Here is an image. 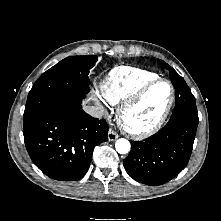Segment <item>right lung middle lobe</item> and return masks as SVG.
<instances>
[{
    "label": "right lung middle lobe",
    "instance_id": "right-lung-middle-lobe-1",
    "mask_svg": "<svg viewBox=\"0 0 221 221\" xmlns=\"http://www.w3.org/2000/svg\"><path fill=\"white\" fill-rule=\"evenodd\" d=\"M97 56H71L47 70L34 83L24 111V128L49 110L67 103H81L89 92L90 69Z\"/></svg>",
    "mask_w": 221,
    "mask_h": 221
}]
</instances>
